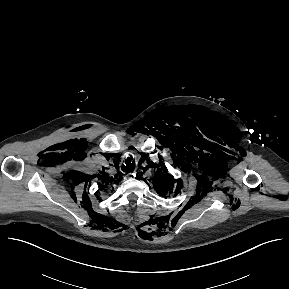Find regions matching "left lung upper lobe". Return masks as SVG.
<instances>
[{
  "label": "left lung upper lobe",
  "mask_w": 289,
  "mask_h": 289,
  "mask_svg": "<svg viewBox=\"0 0 289 289\" xmlns=\"http://www.w3.org/2000/svg\"><path fill=\"white\" fill-rule=\"evenodd\" d=\"M163 170H159L158 175L153 181L154 189L161 195L165 196L173 191L174 179L169 174H166L165 167L162 166ZM179 190V187H178ZM177 193V189L174 190Z\"/></svg>",
  "instance_id": "1"
}]
</instances>
